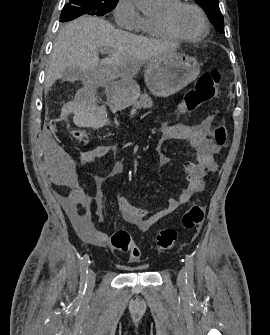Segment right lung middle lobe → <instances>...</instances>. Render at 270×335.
I'll list each match as a JSON object with an SVG mask.
<instances>
[{
    "label": "right lung middle lobe",
    "mask_w": 270,
    "mask_h": 335,
    "mask_svg": "<svg viewBox=\"0 0 270 335\" xmlns=\"http://www.w3.org/2000/svg\"><path fill=\"white\" fill-rule=\"evenodd\" d=\"M118 0H69L62 9L60 21L68 22L82 15L103 16L116 6Z\"/></svg>",
    "instance_id": "right-lung-middle-lobe-1"
}]
</instances>
